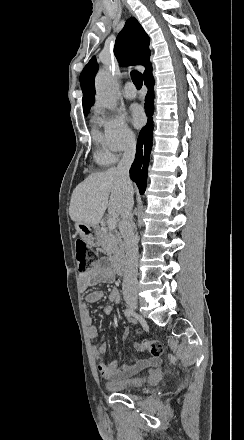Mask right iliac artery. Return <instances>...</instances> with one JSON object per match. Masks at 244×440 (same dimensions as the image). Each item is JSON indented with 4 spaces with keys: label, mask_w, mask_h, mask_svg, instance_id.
Returning <instances> with one entry per match:
<instances>
[{
    "label": "right iliac artery",
    "mask_w": 244,
    "mask_h": 440,
    "mask_svg": "<svg viewBox=\"0 0 244 440\" xmlns=\"http://www.w3.org/2000/svg\"><path fill=\"white\" fill-rule=\"evenodd\" d=\"M124 314L126 317H131L133 315V311L130 308H126L124 310Z\"/></svg>",
    "instance_id": "1"
}]
</instances>
